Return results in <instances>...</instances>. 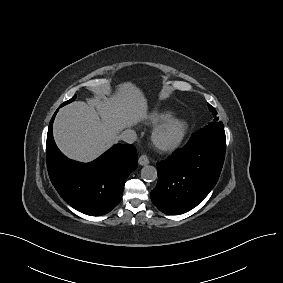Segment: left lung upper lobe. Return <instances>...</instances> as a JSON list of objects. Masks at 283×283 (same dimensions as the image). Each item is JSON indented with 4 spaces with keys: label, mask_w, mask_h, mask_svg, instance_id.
I'll return each instance as SVG.
<instances>
[{
    "label": "left lung upper lobe",
    "mask_w": 283,
    "mask_h": 283,
    "mask_svg": "<svg viewBox=\"0 0 283 283\" xmlns=\"http://www.w3.org/2000/svg\"><path fill=\"white\" fill-rule=\"evenodd\" d=\"M208 107L214 116V121L210 122L208 125H206L204 128L200 130L208 131V132H215L221 135H225L223 123L218 121V118L216 117L217 112L215 108L212 107L210 104H208Z\"/></svg>",
    "instance_id": "5c2ea615"
}]
</instances>
